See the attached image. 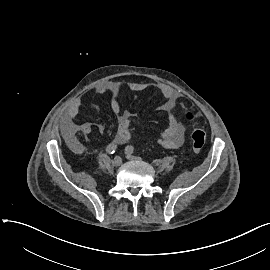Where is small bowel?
Returning <instances> with one entry per match:
<instances>
[{"label":"small bowel","mask_w":270,"mask_h":270,"mask_svg":"<svg viewBox=\"0 0 270 270\" xmlns=\"http://www.w3.org/2000/svg\"><path fill=\"white\" fill-rule=\"evenodd\" d=\"M152 88L160 93L165 99V103L160 110L167 113V126L156 138L157 142L167 149H178L182 146L186 132V124L177 120L173 111L175 110L179 94L171 87L164 84L133 83L129 86L131 91H142ZM122 85L118 82H107L98 86L95 90L97 94H110L109 107L117 118V133L114 138L116 144H124L131 138V118L132 114L127 110H122L119 95ZM81 101L76 100L68 109L64 119V133L73 139L77 134L89 135L95 126L99 133L106 130L101 122L79 121L77 119L80 111Z\"/></svg>","instance_id":"small-bowel-1"}]
</instances>
